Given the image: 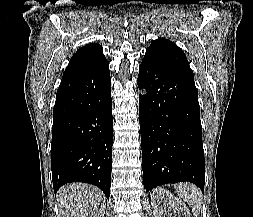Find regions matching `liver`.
I'll return each instance as SVG.
<instances>
[{
    "mask_svg": "<svg viewBox=\"0 0 253 217\" xmlns=\"http://www.w3.org/2000/svg\"><path fill=\"white\" fill-rule=\"evenodd\" d=\"M57 201L64 217H104V194L96 187L83 184H67L59 189Z\"/></svg>",
    "mask_w": 253,
    "mask_h": 217,
    "instance_id": "6515ba94",
    "label": "liver"
}]
</instances>
